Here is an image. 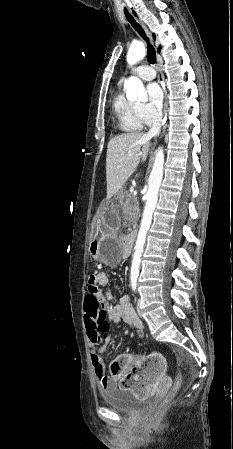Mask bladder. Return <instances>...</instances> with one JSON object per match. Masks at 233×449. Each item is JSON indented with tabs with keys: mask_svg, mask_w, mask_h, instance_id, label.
Returning a JSON list of instances; mask_svg holds the SVG:
<instances>
[{
	"mask_svg": "<svg viewBox=\"0 0 233 449\" xmlns=\"http://www.w3.org/2000/svg\"><path fill=\"white\" fill-rule=\"evenodd\" d=\"M102 397L109 407L126 413L139 412L152 406L151 400L137 399L130 389L115 388L103 390Z\"/></svg>",
	"mask_w": 233,
	"mask_h": 449,
	"instance_id": "obj_1",
	"label": "bladder"
}]
</instances>
